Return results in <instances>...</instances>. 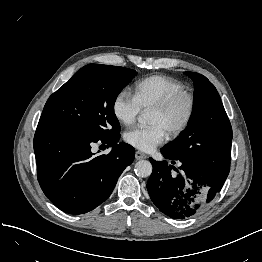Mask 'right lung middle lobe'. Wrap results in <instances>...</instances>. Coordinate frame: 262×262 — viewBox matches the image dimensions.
<instances>
[{"mask_svg": "<svg viewBox=\"0 0 262 262\" xmlns=\"http://www.w3.org/2000/svg\"><path fill=\"white\" fill-rule=\"evenodd\" d=\"M136 74L124 67L88 64L49 97L39 122L68 126L99 138L113 136L120 132L114 103Z\"/></svg>", "mask_w": 262, "mask_h": 262, "instance_id": "1", "label": "right lung middle lobe"}]
</instances>
